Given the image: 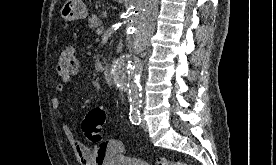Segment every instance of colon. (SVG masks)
Masks as SVG:
<instances>
[{"instance_id": "colon-1", "label": "colon", "mask_w": 276, "mask_h": 165, "mask_svg": "<svg viewBox=\"0 0 276 165\" xmlns=\"http://www.w3.org/2000/svg\"><path fill=\"white\" fill-rule=\"evenodd\" d=\"M78 69V60L73 46H66L62 49L57 64V72L61 77H71ZM106 110L100 107L90 110L82 121V130L85 135L94 143L100 154L120 151V146L113 140H104L102 137V128L106 121ZM156 165H188L181 161H170L160 157Z\"/></svg>"}]
</instances>
